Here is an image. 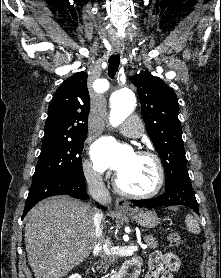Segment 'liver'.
Wrapping results in <instances>:
<instances>
[{
	"mask_svg": "<svg viewBox=\"0 0 221 278\" xmlns=\"http://www.w3.org/2000/svg\"><path fill=\"white\" fill-rule=\"evenodd\" d=\"M96 212L68 196L51 197L29 211L25 245L35 278H62L89 257Z\"/></svg>",
	"mask_w": 221,
	"mask_h": 278,
	"instance_id": "obj_1",
	"label": "liver"
}]
</instances>
